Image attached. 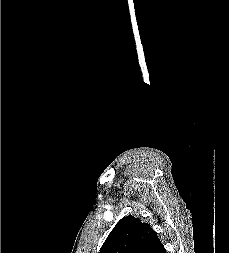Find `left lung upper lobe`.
Masks as SVG:
<instances>
[{
  "label": "left lung upper lobe",
  "instance_id": "5c2ea615",
  "mask_svg": "<svg viewBox=\"0 0 229 253\" xmlns=\"http://www.w3.org/2000/svg\"><path fill=\"white\" fill-rule=\"evenodd\" d=\"M161 244L149 224L127 216L115 225L99 253H155Z\"/></svg>",
  "mask_w": 229,
  "mask_h": 253
}]
</instances>
